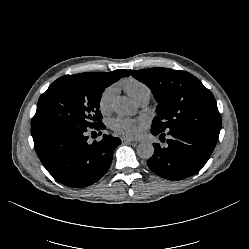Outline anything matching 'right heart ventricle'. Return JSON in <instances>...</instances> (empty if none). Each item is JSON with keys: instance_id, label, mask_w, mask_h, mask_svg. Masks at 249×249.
I'll use <instances>...</instances> for the list:
<instances>
[{"instance_id": "obj_1", "label": "right heart ventricle", "mask_w": 249, "mask_h": 249, "mask_svg": "<svg viewBox=\"0 0 249 249\" xmlns=\"http://www.w3.org/2000/svg\"><path fill=\"white\" fill-rule=\"evenodd\" d=\"M124 90L137 102L144 97H151V89L143 81L129 77L122 81Z\"/></svg>"}]
</instances>
